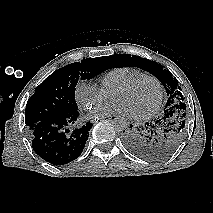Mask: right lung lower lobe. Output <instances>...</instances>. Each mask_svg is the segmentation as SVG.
Returning a JSON list of instances; mask_svg holds the SVG:
<instances>
[{
	"label": "right lung lower lobe",
	"instance_id": "1",
	"mask_svg": "<svg viewBox=\"0 0 213 213\" xmlns=\"http://www.w3.org/2000/svg\"><path fill=\"white\" fill-rule=\"evenodd\" d=\"M79 112L61 115L35 124L30 129L33 150L43 160L64 165L80 156L92 123L79 126Z\"/></svg>",
	"mask_w": 213,
	"mask_h": 213
}]
</instances>
